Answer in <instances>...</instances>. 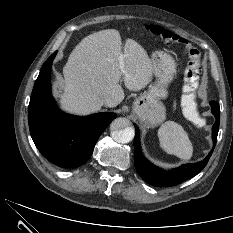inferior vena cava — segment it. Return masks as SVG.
Masks as SVG:
<instances>
[{"label": "inferior vena cava", "mask_w": 233, "mask_h": 233, "mask_svg": "<svg viewBox=\"0 0 233 233\" xmlns=\"http://www.w3.org/2000/svg\"><path fill=\"white\" fill-rule=\"evenodd\" d=\"M102 104L107 106V107H113L114 101L111 97L107 96V97L102 99Z\"/></svg>", "instance_id": "1"}]
</instances>
